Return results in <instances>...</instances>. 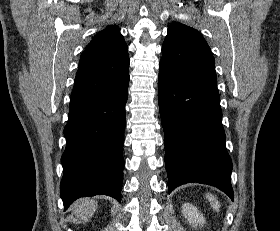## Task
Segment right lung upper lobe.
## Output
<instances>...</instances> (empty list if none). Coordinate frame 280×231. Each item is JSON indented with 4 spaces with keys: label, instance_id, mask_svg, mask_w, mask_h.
Returning a JSON list of instances; mask_svg holds the SVG:
<instances>
[{
    "label": "right lung upper lobe",
    "instance_id": "1",
    "mask_svg": "<svg viewBox=\"0 0 280 231\" xmlns=\"http://www.w3.org/2000/svg\"><path fill=\"white\" fill-rule=\"evenodd\" d=\"M128 47L116 25L97 33L86 46L71 93L70 105L119 91L129 84Z\"/></svg>",
    "mask_w": 280,
    "mask_h": 231
}]
</instances>
